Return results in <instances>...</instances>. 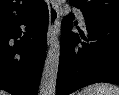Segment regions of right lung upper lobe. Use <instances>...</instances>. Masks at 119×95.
Listing matches in <instances>:
<instances>
[{
    "label": "right lung upper lobe",
    "mask_w": 119,
    "mask_h": 95,
    "mask_svg": "<svg viewBox=\"0 0 119 95\" xmlns=\"http://www.w3.org/2000/svg\"><path fill=\"white\" fill-rule=\"evenodd\" d=\"M43 0H0V28L33 14Z\"/></svg>",
    "instance_id": "obj_1"
}]
</instances>
